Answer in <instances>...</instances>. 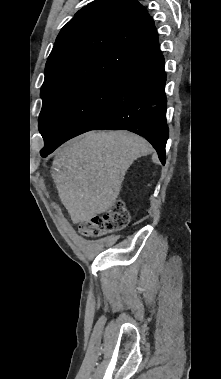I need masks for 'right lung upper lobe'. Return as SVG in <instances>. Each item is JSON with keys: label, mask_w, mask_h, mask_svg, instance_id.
I'll list each match as a JSON object with an SVG mask.
<instances>
[{"label": "right lung upper lobe", "mask_w": 221, "mask_h": 379, "mask_svg": "<svg viewBox=\"0 0 221 379\" xmlns=\"http://www.w3.org/2000/svg\"><path fill=\"white\" fill-rule=\"evenodd\" d=\"M161 55L154 21L137 0H96L61 29L41 97L104 75L122 76Z\"/></svg>", "instance_id": "obj_1"}]
</instances>
